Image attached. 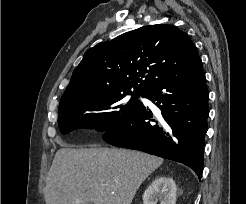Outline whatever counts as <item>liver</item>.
<instances>
[{"mask_svg":"<svg viewBox=\"0 0 246 204\" xmlns=\"http://www.w3.org/2000/svg\"><path fill=\"white\" fill-rule=\"evenodd\" d=\"M163 159L116 148L63 147L47 175L46 204H131L142 182Z\"/></svg>","mask_w":246,"mask_h":204,"instance_id":"1","label":"liver"}]
</instances>
